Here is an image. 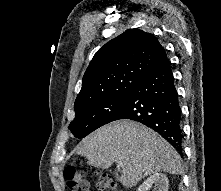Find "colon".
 Instances as JSON below:
<instances>
[{
    "label": "colon",
    "instance_id": "5ec220e1",
    "mask_svg": "<svg viewBox=\"0 0 221 191\" xmlns=\"http://www.w3.org/2000/svg\"><path fill=\"white\" fill-rule=\"evenodd\" d=\"M64 175L70 191H90L87 179L75 166H69ZM96 177L97 186L101 191L114 189L115 183L111 176L106 173H96Z\"/></svg>",
    "mask_w": 221,
    "mask_h": 191
}]
</instances>
